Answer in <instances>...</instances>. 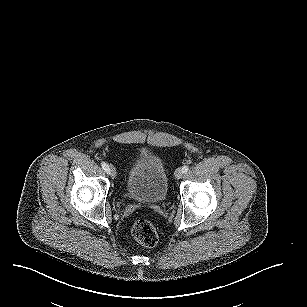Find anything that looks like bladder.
<instances>
[{
	"label": "bladder",
	"mask_w": 307,
	"mask_h": 307,
	"mask_svg": "<svg viewBox=\"0 0 307 307\" xmlns=\"http://www.w3.org/2000/svg\"><path fill=\"white\" fill-rule=\"evenodd\" d=\"M126 180L127 194L136 201H146L153 204L162 203L167 193V172L158 155L144 157L136 153L131 158Z\"/></svg>",
	"instance_id": "obj_1"
}]
</instances>
